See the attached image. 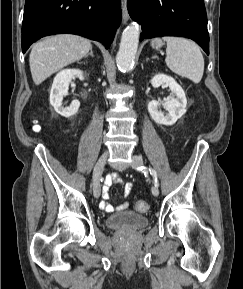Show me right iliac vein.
<instances>
[{
    "label": "right iliac vein",
    "mask_w": 243,
    "mask_h": 289,
    "mask_svg": "<svg viewBox=\"0 0 243 289\" xmlns=\"http://www.w3.org/2000/svg\"><path fill=\"white\" fill-rule=\"evenodd\" d=\"M107 157V153L102 154L93 170V194L95 198H99L101 194L100 179L107 161Z\"/></svg>",
    "instance_id": "1"
}]
</instances>
